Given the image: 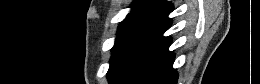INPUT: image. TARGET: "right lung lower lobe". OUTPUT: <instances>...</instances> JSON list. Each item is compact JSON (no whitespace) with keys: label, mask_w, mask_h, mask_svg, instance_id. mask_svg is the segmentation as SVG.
Returning <instances> with one entry per match:
<instances>
[{"label":"right lung lower lobe","mask_w":260,"mask_h":84,"mask_svg":"<svg viewBox=\"0 0 260 84\" xmlns=\"http://www.w3.org/2000/svg\"><path fill=\"white\" fill-rule=\"evenodd\" d=\"M168 47L156 59V61L148 69H146L132 84L177 83L178 76L176 70L172 68L174 54L168 51Z\"/></svg>","instance_id":"obj_1"}]
</instances>
